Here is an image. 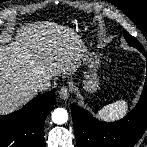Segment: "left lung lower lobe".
Segmentation results:
<instances>
[{"mask_svg": "<svg viewBox=\"0 0 147 147\" xmlns=\"http://www.w3.org/2000/svg\"><path fill=\"white\" fill-rule=\"evenodd\" d=\"M140 51L147 59L146 52ZM71 112L78 147H131L147 127V76L138 104L121 120L100 121L75 103Z\"/></svg>", "mask_w": 147, "mask_h": 147, "instance_id": "obj_1", "label": "left lung lower lobe"}]
</instances>
